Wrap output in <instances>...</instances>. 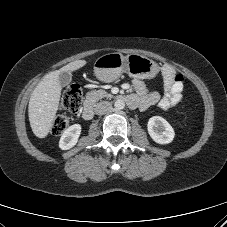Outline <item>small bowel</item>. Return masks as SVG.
Wrapping results in <instances>:
<instances>
[{
	"label": "small bowel",
	"mask_w": 227,
	"mask_h": 227,
	"mask_svg": "<svg viewBox=\"0 0 227 227\" xmlns=\"http://www.w3.org/2000/svg\"><path fill=\"white\" fill-rule=\"evenodd\" d=\"M162 75L164 82V93L162 96L157 91L148 89L143 81H134L135 94L132 96L137 100L136 107H139L141 110H146L157 104L160 109L168 110L179 104L183 92L182 77L176 75L174 69L170 66L163 68Z\"/></svg>",
	"instance_id": "obj_1"
}]
</instances>
